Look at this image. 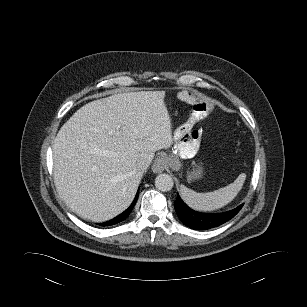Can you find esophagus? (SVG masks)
<instances>
[{
    "mask_svg": "<svg viewBox=\"0 0 307 307\" xmlns=\"http://www.w3.org/2000/svg\"><path fill=\"white\" fill-rule=\"evenodd\" d=\"M167 166V158L163 155L158 156L152 165V171L154 173H161L166 169Z\"/></svg>",
    "mask_w": 307,
    "mask_h": 307,
    "instance_id": "1",
    "label": "esophagus"
}]
</instances>
